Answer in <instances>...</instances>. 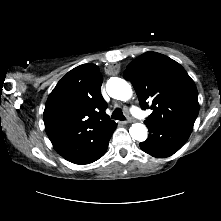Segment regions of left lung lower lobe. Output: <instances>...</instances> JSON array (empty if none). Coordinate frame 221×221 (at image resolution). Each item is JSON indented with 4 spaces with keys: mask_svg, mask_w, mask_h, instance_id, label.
I'll return each mask as SVG.
<instances>
[{
    "mask_svg": "<svg viewBox=\"0 0 221 221\" xmlns=\"http://www.w3.org/2000/svg\"><path fill=\"white\" fill-rule=\"evenodd\" d=\"M144 123L149 136L139 145L144 152L156 158L173 155L186 143L192 131L191 127L165 126L149 121Z\"/></svg>",
    "mask_w": 221,
    "mask_h": 221,
    "instance_id": "left-lung-lower-lobe-1",
    "label": "left lung lower lobe"
}]
</instances>
